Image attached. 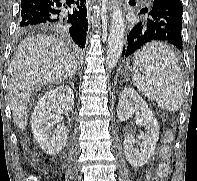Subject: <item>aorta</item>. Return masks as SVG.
<instances>
[{
	"mask_svg": "<svg viewBox=\"0 0 197 181\" xmlns=\"http://www.w3.org/2000/svg\"><path fill=\"white\" fill-rule=\"evenodd\" d=\"M124 18L119 3L113 7V13L110 23V32L108 37L106 64L109 70H112L122 54L124 44Z\"/></svg>",
	"mask_w": 197,
	"mask_h": 181,
	"instance_id": "aorta-1",
	"label": "aorta"
}]
</instances>
